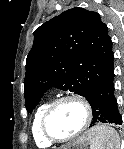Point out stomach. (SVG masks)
Segmentation results:
<instances>
[{
  "mask_svg": "<svg viewBox=\"0 0 124 149\" xmlns=\"http://www.w3.org/2000/svg\"><path fill=\"white\" fill-rule=\"evenodd\" d=\"M102 126H98L96 128H101ZM96 128L91 129L88 131L83 137H81L79 140H77L75 143L68 145L67 147H64V149H85L88 144H90L89 138L96 133Z\"/></svg>",
  "mask_w": 124,
  "mask_h": 149,
  "instance_id": "obj_1",
  "label": "stomach"
}]
</instances>
